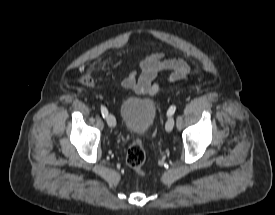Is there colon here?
Wrapping results in <instances>:
<instances>
[{"label": "colon", "mask_w": 275, "mask_h": 215, "mask_svg": "<svg viewBox=\"0 0 275 215\" xmlns=\"http://www.w3.org/2000/svg\"><path fill=\"white\" fill-rule=\"evenodd\" d=\"M82 83L86 86H90L92 81L90 78L85 77L82 79ZM145 161V151L143 147V140L141 138H135L127 151L126 162L128 166L140 177L146 176V171L143 167Z\"/></svg>", "instance_id": "obj_1"}]
</instances>
